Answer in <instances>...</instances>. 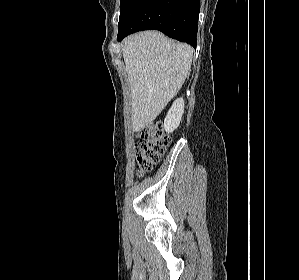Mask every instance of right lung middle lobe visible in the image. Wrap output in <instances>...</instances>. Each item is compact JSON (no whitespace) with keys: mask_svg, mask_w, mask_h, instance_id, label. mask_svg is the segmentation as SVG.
Here are the masks:
<instances>
[{"mask_svg":"<svg viewBox=\"0 0 299 280\" xmlns=\"http://www.w3.org/2000/svg\"><path fill=\"white\" fill-rule=\"evenodd\" d=\"M123 2H124V0H120V7H121V5H122Z\"/></svg>","mask_w":299,"mask_h":280,"instance_id":"obj_1","label":"right lung middle lobe"}]
</instances>
